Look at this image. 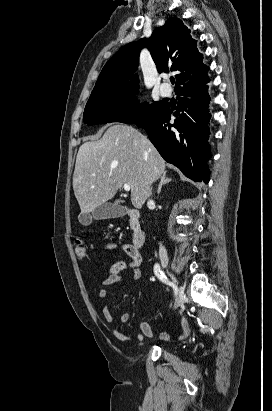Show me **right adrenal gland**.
Here are the masks:
<instances>
[{"label":"right adrenal gland","mask_w":272,"mask_h":411,"mask_svg":"<svg viewBox=\"0 0 272 411\" xmlns=\"http://www.w3.org/2000/svg\"><path fill=\"white\" fill-rule=\"evenodd\" d=\"M171 181H172V178H168V177L166 176V172H164V173L162 174V176L160 177V182H159L157 194H160L161 188H162L163 185H165V184H167V183H169V182H171Z\"/></svg>","instance_id":"2a0ac1e0"}]
</instances>
